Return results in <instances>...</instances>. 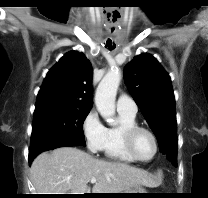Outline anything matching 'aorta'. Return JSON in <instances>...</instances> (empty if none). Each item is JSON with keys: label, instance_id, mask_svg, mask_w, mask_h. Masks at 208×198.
<instances>
[{"label": "aorta", "instance_id": "obj_1", "mask_svg": "<svg viewBox=\"0 0 208 198\" xmlns=\"http://www.w3.org/2000/svg\"><path fill=\"white\" fill-rule=\"evenodd\" d=\"M120 80V71L116 69L110 70L100 81L95 93L97 110L111 126L117 124L115 119V100Z\"/></svg>", "mask_w": 208, "mask_h": 198}]
</instances>
